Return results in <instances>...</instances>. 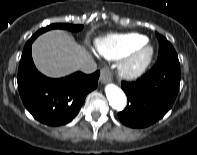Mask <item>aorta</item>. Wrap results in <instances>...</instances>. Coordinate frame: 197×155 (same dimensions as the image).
Returning <instances> with one entry per match:
<instances>
[{"label": "aorta", "instance_id": "aorta-1", "mask_svg": "<svg viewBox=\"0 0 197 155\" xmlns=\"http://www.w3.org/2000/svg\"><path fill=\"white\" fill-rule=\"evenodd\" d=\"M105 93L109 104L113 109L122 110L126 106L127 99L124 92L114 84H108L105 87Z\"/></svg>", "mask_w": 197, "mask_h": 155}]
</instances>
